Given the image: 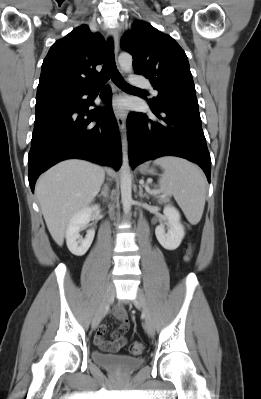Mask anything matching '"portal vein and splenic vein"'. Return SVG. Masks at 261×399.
I'll list each match as a JSON object with an SVG mask.
<instances>
[{
	"label": "portal vein and splenic vein",
	"instance_id": "1",
	"mask_svg": "<svg viewBox=\"0 0 261 399\" xmlns=\"http://www.w3.org/2000/svg\"><path fill=\"white\" fill-rule=\"evenodd\" d=\"M148 182H151V181H148ZM146 190H147L149 193H151V194H158V193H160V191H158V190L150 191L149 187H146Z\"/></svg>",
	"mask_w": 261,
	"mask_h": 399
}]
</instances>
